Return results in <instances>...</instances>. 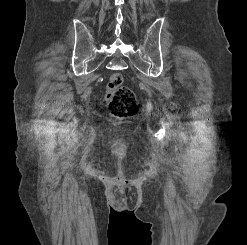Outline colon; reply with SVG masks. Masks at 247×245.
Here are the masks:
<instances>
[{
  "label": "colon",
  "instance_id": "colon-1",
  "mask_svg": "<svg viewBox=\"0 0 247 245\" xmlns=\"http://www.w3.org/2000/svg\"><path fill=\"white\" fill-rule=\"evenodd\" d=\"M105 102L112 116L128 118L137 111V98L132 90L123 84L120 73H112L107 82Z\"/></svg>",
  "mask_w": 247,
  "mask_h": 245
}]
</instances>
